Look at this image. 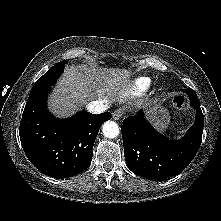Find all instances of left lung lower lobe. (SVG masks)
Returning <instances> with one entry per match:
<instances>
[{"mask_svg":"<svg viewBox=\"0 0 221 221\" xmlns=\"http://www.w3.org/2000/svg\"><path fill=\"white\" fill-rule=\"evenodd\" d=\"M196 120L181 140L160 135L144 118L142 111L129 116L121 125L124 156L129 169L142 177L162 180L183 171L195 157L202 140L204 116L194 90L183 89Z\"/></svg>","mask_w":221,"mask_h":221,"instance_id":"left-lung-lower-lobe-1","label":"left lung lower lobe"}]
</instances>
